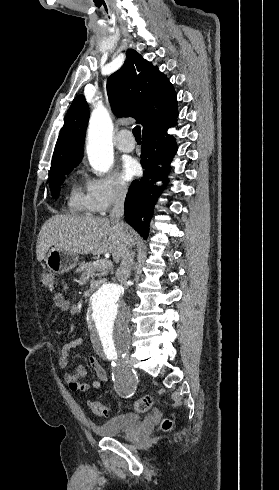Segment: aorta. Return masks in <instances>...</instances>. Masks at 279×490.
<instances>
[{
	"mask_svg": "<svg viewBox=\"0 0 279 490\" xmlns=\"http://www.w3.org/2000/svg\"><path fill=\"white\" fill-rule=\"evenodd\" d=\"M113 124L107 110L96 106L89 120L87 155L91 166L106 173L113 164ZM129 310L116 284H103L91 297L87 316L90 339L100 352L113 351L129 341Z\"/></svg>",
	"mask_w": 279,
	"mask_h": 490,
	"instance_id": "1",
	"label": "aorta"
}]
</instances>
